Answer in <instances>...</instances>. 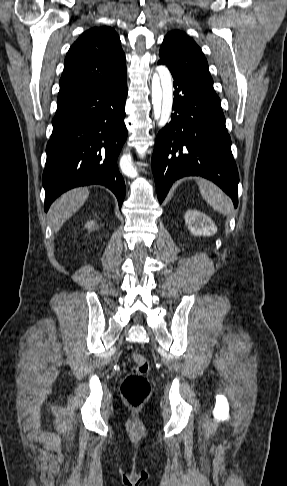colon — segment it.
Returning a JSON list of instances; mask_svg holds the SVG:
<instances>
[{
    "instance_id": "colon-1",
    "label": "colon",
    "mask_w": 287,
    "mask_h": 486,
    "mask_svg": "<svg viewBox=\"0 0 287 486\" xmlns=\"http://www.w3.org/2000/svg\"><path fill=\"white\" fill-rule=\"evenodd\" d=\"M133 368L121 383V394L131 407L141 406L150 396L151 383L147 378L148 360L141 353L131 355Z\"/></svg>"
}]
</instances>
